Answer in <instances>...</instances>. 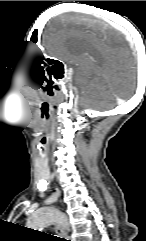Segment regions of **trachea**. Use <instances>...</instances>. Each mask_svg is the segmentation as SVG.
<instances>
[{
    "mask_svg": "<svg viewBox=\"0 0 146 241\" xmlns=\"http://www.w3.org/2000/svg\"><path fill=\"white\" fill-rule=\"evenodd\" d=\"M59 241H65V240H63V239H60V238H57Z\"/></svg>",
    "mask_w": 146,
    "mask_h": 241,
    "instance_id": "3493384b",
    "label": "trachea"
}]
</instances>
